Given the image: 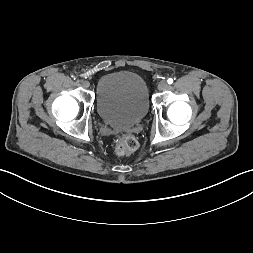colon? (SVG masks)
Segmentation results:
<instances>
[{
    "label": "colon",
    "instance_id": "1",
    "mask_svg": "<svg viewBox=\"0 0 253 253\" xmlns=\"http://www.w3.org/2000/svg\"><path fill=\"white\" fill-rule=\"evenodd\" d=\"M137 146V139L131 134H125L117 141L115 152L118 156L129 155L137 149Z\"/></svg>",
    "mask_w": 253,
    "mask_h": 253
}]
</instances>
